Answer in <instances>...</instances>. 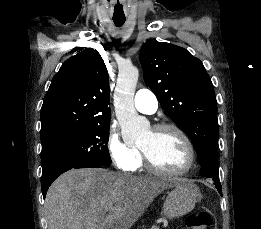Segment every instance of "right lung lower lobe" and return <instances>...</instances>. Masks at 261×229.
<instances>
[{
    "instance_id": "right-lung-lower-lobe-1",
    "label": "right lung lower lobe",
    "mask_w": 261,
    "mask_h": 229,
    "mask_svg": "<svg viewBox=\"0 0 261 229\" xmlns=\"http://www.w3.org/2000/svg\"><path fill=\"white\" fill-rule=\"evenodd\" d=\"M103 166L100 165H84V166H80V167H75V168H101ZM72 168H62V169H56L53 171H50L46 174L42 175L41 178V188H42V194L43 197L45 198L47 190L49 188V186L51 185V183L62 173L70 170Z\"/></svg>"
}]
</instances>
